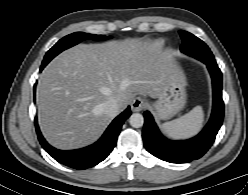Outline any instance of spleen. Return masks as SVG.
Segmentation results:
<instances>
[{
  "label": "spleen",
  "mask_w": 248,
  "mask_h": 195,
  "mask_svg": "<svg viewBox=\"0 0 248 195\" xmlns=\"http://www.w3.org/2000/svg\"><path fill=\"white\" fill-rule=\"evenodd\" d=\"M203 120V109L201 106H196L180 118L164 123L162 129L171 138H186L196 134L201 129Z\"/></svg>",
  "instance_id": "spleen-1"
}]
</instances>
